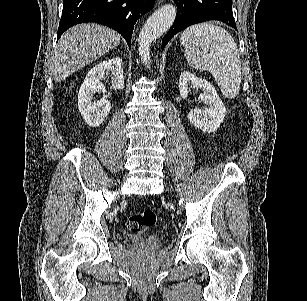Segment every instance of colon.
Masks as SVG:
<instances>
[{"label":"colon","mask_w":307,"mask_h":301,"mask_svg":"<svg viewBox=\"0 0 307 301\" xmlns=\"http://www.w3.org/2000/svg\"><path fill=\"white\" fill-rule=\"evenodd\" d=\"M156 223V214L152 210L131 215L127 220V228L134 233H142L152 228Z\"/></svg>","instance_id":"5ec220e1"}]
</instances>
